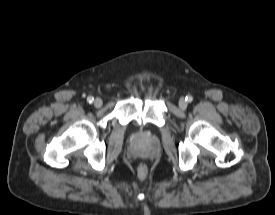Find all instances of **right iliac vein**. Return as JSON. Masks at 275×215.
<instances>
[{
  "label": "right iliac vein",
  "instance_id": "obj_1",
  "mask_svg": "<svg viewBox=\"0 0 275 215\" xmlns=\"http://www.w3.org/2000/svg\"><path fill=\"white\" fill-rule=\"evenodd\" d=\"M102 105H103V101H102L100 98H96V99L94 100V106H95L96 108H100Z\"/></svg>",
  "mask_w": 275,
  "mask_h": 215
}]
</instances>
